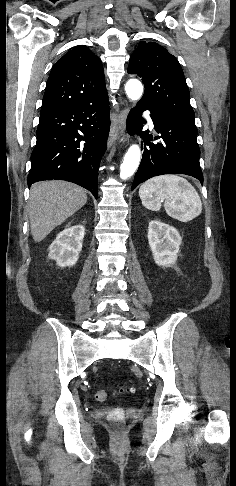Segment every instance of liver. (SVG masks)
<instances>
[{"instance_id":"6515ba94","label":"liver","mask_w":236,"mask_h":486,"mask_svg":"<svg viewBox=\"0 0 236 486\" xmlns=\"http://www.w3.org/2000/svg\"><path fill=\"white\" fill-rule=\"evenodd\" d=\"M86 202V191L70 182L52 180L32 185L28 213L34 241L41 242Z\"/></svg>"}]
</instances>
